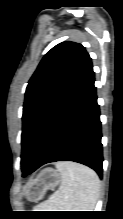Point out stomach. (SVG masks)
Instances as JSON below:
<instances>
[{"label": "stomach", "instance_id": "1", "mask_svg": "<svg viewBox=\"0 0 123 219\" xmlns=\"http://www.w3.org/2000/svg\"><path fill=\"white\" fill-rule=\"evenodd\" d=\"M60 183V172L53 168H45L41 170L37 177L31 182L28 198L36 202L43 198L47 190H53Z\"/></svg>", "mask_w": 123, "mask_h": 219}]
</instances>
